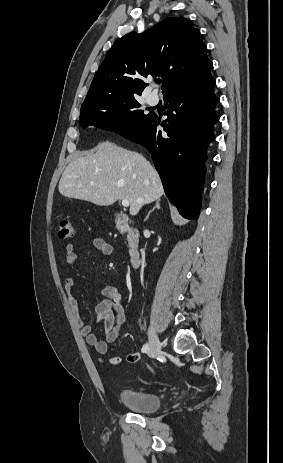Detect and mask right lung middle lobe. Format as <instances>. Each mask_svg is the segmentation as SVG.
Instances as JSON below:
<instances>
[{
	"label": "right lung middle lobe",
	"mask_w": 283,
	"mask_h": 463,
	"mask_svg": "<svg viewBox=\"0 0 283 463\" xmlns=\"http://www.w3.org/2000/svg\"><path fill=\"white\" fill-rule=\"evenodd\" d=\"M134 97H108L81 106L79 124L86 128L96 126L113 130L121 135L137 131L151 116L139 110Z\"/></svg>",
	"instance_id": "1"
}]
</instances>
